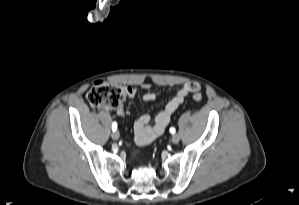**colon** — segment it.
<instances>
[{
  "mask_svg": "<svg viewBox=\"0 0 299 205\" xmlns=\"http://www.w3.org/2000/svg\"><path fill=\"white\" fill-rule=\"evenodd\" d=\"M126 96L124 87L114 85L106 81H96L88 92V102L94 107L116 109L121 106ZM193 99L196 102L202 101V95L194 92Z\"/></svg>",
  "mask_w": 299,
  "mask_h": 205,
  "instance_id": "1",
  "label": "colon"
}]
</instances>
